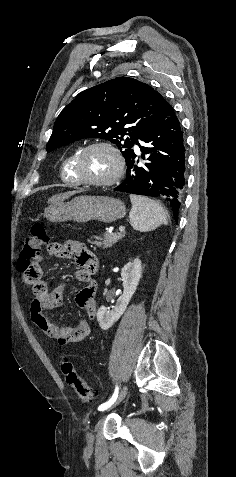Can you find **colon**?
<instances>
[{
	"label": "colon",
	"instance_id": "1",
	"mask_svg": "<svg viewBox=\"0 0 236 477\" xmlns=\"http://www.w3.org/2000/svg\"><path fill=\"white\" fill-rule=\"evenodd\" d=\"M49 237L46 227L42 223H35L31 228V235L22 245L21 252L17 262L18 270L23 274L27 284L33 293H37L42 289V271L40 267L41 261V245L48 244ZM61 370L68 385L76 391L78 398L83 402H91L94 394L87 382L80 376L74 364L64 358L61 362Z\"/></svg>",
	"mask_w": 236,
	"mask_h": 477
}]
</instances>
